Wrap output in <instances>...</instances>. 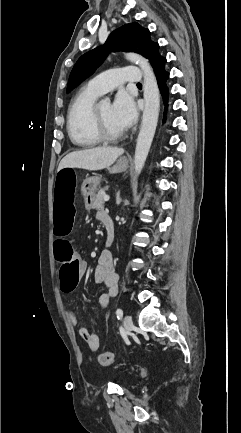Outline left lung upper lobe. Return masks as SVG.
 Here are the masks:
<instances>
[{"label":"left lung upper lobe","mask_w":241,"mask_h":433,"mask_svg":"<svg viewBox=\"0 0 241 433\" xmlns=\"http://www.w3.org/2000/svg\"><path fill=\"white\" fill-rule=\"evenodd\" d=\"M136 52L149 59L155 74L164 71L166 58L159 53V44L150 39V31L138 23L126 24L113 31L105 44L82 55L76 62L68 81L67 91L89 77L103 62L108 52Z\"/></svg>","instance_id":"left-lung-upper-lobe-1"}]
</instances>
